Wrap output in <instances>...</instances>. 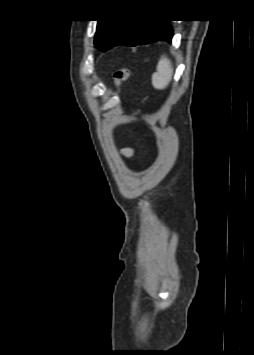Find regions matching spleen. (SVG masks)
<instances>
[{"label": "spleen", "mask_w": 254, "mask_h": 355, "mask_svg": "<svg viewBox=\"0 0 254 355\" xmlns=\"http://www.w3.org/2000/svg\"><path fill=\"white\" fill-rule=\"evenodd\" d=\"M173 75V67L171 61L162 56L157 65V71L152 75V85L155 89H165L170 83Z\"/></svg>", "instance_id": "spleen-1"}]
</instances>
